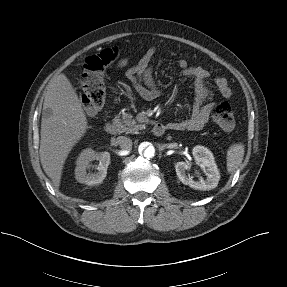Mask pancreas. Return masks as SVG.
Here are the masks:
<instances>
[{"instance_id": "cf45deb5", "label": "pancreas", "mask_w": 287, "mask_h": 287, "mask_svg": "<svg viewBox=\"0 0 287 287\" xmlns=\"http://www.w3.org/2000/svg\"><path fill=\"white\" fill-rule=\"evenodd\" d=\"M114 121L120 126V132L136 134L139 130L145 128V125H138L130 114H123L121 118L118 115L114 118Z\"/></svg>"}]
</instances>
